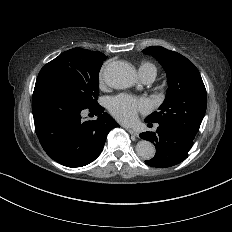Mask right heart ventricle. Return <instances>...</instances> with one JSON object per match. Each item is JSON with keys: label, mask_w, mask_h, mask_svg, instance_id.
Segmentation results:
<instances>
[{"label": "right heart ventricle", "mask_w": 232, "mask_h": 232, "mask_svg": "<svg viewBox=\"0 0 232 232\" xmlns=\"http://www.w3.org/2000/svg\"><path fill=\"white\" fill-rule=\"evenodd\" d=\"M140 73H151L155 77L156 68L152 64L145 63L141 66Z\"/></svg>", "instance_id": "1"}]
</instances>
